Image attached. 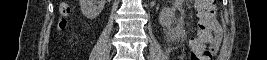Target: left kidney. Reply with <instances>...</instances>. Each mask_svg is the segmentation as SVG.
I'll return each mask as SVG.
<instances>
[{
    "mask_svg": "<svg viewBox=\"0 0 267 60\" xmlns=\"http://www.w3.org/2000/svg\"><path fill=\"white\" fill-rule=\"evenodd\" d=\"M175 18V10L173 8L165 7L159 14V23L162 26H168Z\"/></svg>",
    "mask_w": 267,
    "mask_h": 60,
    "instance_id": "left-kidney-1",
    "label": "left kidney"
}]
</instances>
